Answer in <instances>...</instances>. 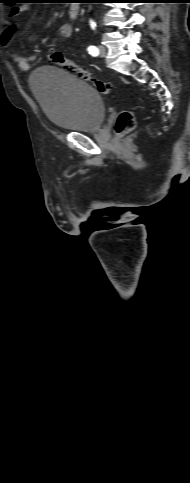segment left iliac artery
Here are the masks:
<instances>
[{
	"mask_svg": "<svg viewBox=\"0 0 190 483\" xmlns=\"http://www.w3.org/2000/svg\"><path fill=\"white\" fill-rule=\"evenodd\" d=\"M88 52L89 54H91L92 56H97L99 54V50L97 47L95 46H89L88 47Z\"/></svg>",
	"mask_w": 190,
	"mask_h": 483,
	"instance_id": "obj_1",
	"label": "left iliac artery"
}]
</instances>
